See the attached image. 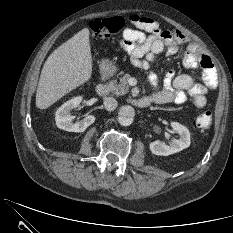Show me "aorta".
<instances>
[{"label": "aorta", "mask_w": 233, "mask_h": 233, "mask_svg": "<svg viewBox=\"0 0 233 233\" xmlns=\"http://www.w3.org/2000/svg\"><path fill=\"white\" fill-rule=\"evenodd\" d=\"M135 116V110L130 105H124L119 109L118 122L122 126H129L132 124Z\"/></svg>", "instance_id": "aorta-1"}]
</instances>
